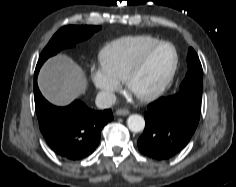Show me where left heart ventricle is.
Returning a JSON list of instances; mask_svg holds the SVG:
<instances>
[{
  "label": "left heart ventricle",
  "instance_id": "b2bd125f",
  "mask_svg": "<svg viewBox=\"0 0 236 187\" xmlns=\"http://www.w3.org/2000/svg\"><path fill=\"white\" fill-rule=\"evenodd\" d=\"M173 60V50L169 46H162L154 51L133 81L132 94H144L155 90L166 78Z\"/></svg>",
  "mask_w": 236,
  "mask_h": 187
}]
</instances>
